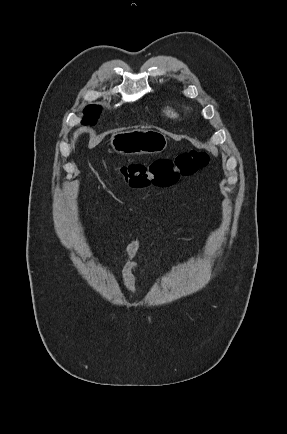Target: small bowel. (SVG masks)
Listing matches in <instances>:
<instances>
[{"label":"small bowel","instance_id":"c3829d8e","mask_svg":"<svg viewBox=\"0 0 287 434\" xmlns=\"http://www.w3.org/2000/svg\"><path fill=\"white\" fill-rule=\"evenodd\" d=\"M145 246V241L140 236L133 237L123 256L121 257V263L123 265L122 269V283L124 289L132 294L136 290V275L140 272L141 265L132 261L133 255L138 251L143 249ZM179 262H176L173 266V270L179 267Z\"/></svg>","mask_w":287,"mask_h":434}]
</instances>
